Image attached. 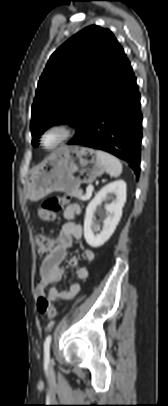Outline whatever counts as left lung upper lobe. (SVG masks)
Masks as SVG:
<instances>
[{
	"instance_id": "obj_1",
	"label": "left lung upper lobe",
	"mask_w": 168,
	"mask_h": 406,
	"mask_svg": "<svg viewBox=\"0 0 168 406\" xmlns=\"http://www.w3.org/2000/svg\"><path fill=\"white\" fill-rule=\"evenodd\" d=\"M124 55L109 29L91 25L62 44L50 57L32 106V144L56 124H70L77 136L101 91Z\"/></svg>"
}]
</instances>
